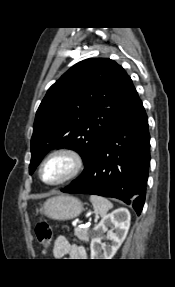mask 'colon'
<instances>
[{"label": "colon", "instance_id": "5ec220e1", "mask_svg": "<svg viewBox=\"0 0 175 287\" xmlns=\"http://www.w3.org/2000/svg\"><path fill=\"white\" fill-rule=\"evenodd\" d=\"M35 234L38 242L47 251L52 242V231L45 220H40L35 228Z\"/></svg>", "mask_w": 175, "mask_h": 287}]
</instances>
